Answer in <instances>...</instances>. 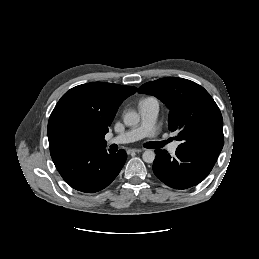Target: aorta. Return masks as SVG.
Returning <instances> with one entry per match:
<instances>
[{
    "mask_svg": "<svg viewBox=\"0 0 259 259\" xmlns=\"http://www.w3.org/2000/svg\"><path fill=\"white\" fill-rule=\"evenodd\" d=\"M123 120L127 126H135L140 122V115L136 111H128L125 113ZM142 157L144 162L152 163L155 159V153L152 150H146Z\"/></svg>",
    "mask_w": 259,
    "mask_h": 259,
    "instance_id": "obj_1",
    "label": "aorta"
}]
</instances>
